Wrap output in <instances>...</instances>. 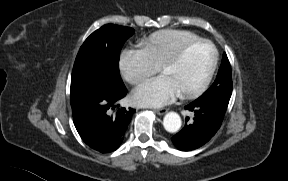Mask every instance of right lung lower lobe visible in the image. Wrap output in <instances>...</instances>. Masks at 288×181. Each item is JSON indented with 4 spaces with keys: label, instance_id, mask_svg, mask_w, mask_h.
Wrapping results in <instances>:
<instances>
[{
    "label": "right lung lower lobe",
    "instance_id": "obj_1",
    "mask_svg": "<svg viewBox=\"0 0 288 181\" xmlns=\"http://www.w3.org/2000/svg\"><path fill=\"white\" fill-rule=\"evenodd\" d=\"M126 94L124 85L114 87L100 75L92 76L86 83L82 102L73 113V121L88 146L101 153L119 148L135 110L121 108L111 114L110 109H114V104Z\"/></svg>",
    "mask_w": 288,
    "mask_h": 181
}]
</instances>
